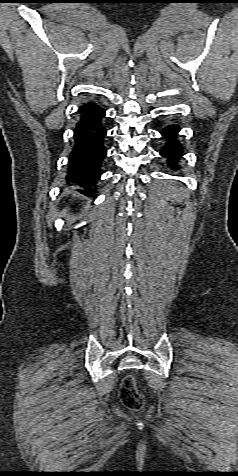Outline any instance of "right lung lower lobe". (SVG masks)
<instances>
[{
    "instance_id": "1",
    "label": "right lung lower lobe",
    "mask_w": 238,
    "mask_h": 476,
    "mask_svg": "<svg viewBox=\"0 0 238 476\" xmlns=\"http://www.w3.org/2000/svg\"><path fill=\"white\" fill-rule=\"evenodd\" d=\"M79 121L74 129V146L70 154L68 177L95 187L101 175V165L107 155L103 125L105 110L94 101L80 106ZM95 192V190H90Z\"/></svg>"
}]
</instances>
